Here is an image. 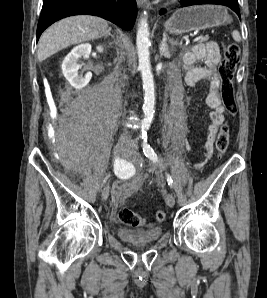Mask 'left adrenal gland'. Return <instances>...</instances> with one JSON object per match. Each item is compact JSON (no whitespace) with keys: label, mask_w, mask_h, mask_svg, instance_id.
<instances>
[{"label":"left adrenal gland","mask_w":267,"mask_h":298,"mask_svg":"<svg viewBox=\"0 0 267 298\" xmlns=\"http://www.w3.org/2000/svg\"><path fill=\"white\" fill-rule=\"evenodd\" d=\"M167 42H169L170 45L167 44ZM178 42L173 40V39H169L167 37L166 33H163V38L162 41L160 43V55L164 56L166 58H171V52H172V48L177 45Z\"/></svg>","instance_id":"obj_1"}]
</instances>
